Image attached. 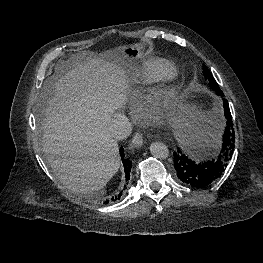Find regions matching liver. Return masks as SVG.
Here are the masks:
<instances>
[{
  "label": "liver",
  "instance_id": "6515ba94",
  "mask_svg": "<svg viewBox=\"0 0 263 263\" xmlns=\"http://www.w3.org/2000/svg\"><path fill=\"white\" fill-rule=\"evenodd\" d=\"M117 48L78 56L53 84L43 122V151L60 181L76 193L104 188L120 166L117 141L107 125L127 100L129 61ZM48 82L46 83V85ZM177 126L196 122L193 108L179 105Z\"/></svg>",
  "mask_w": 263,
  "mask_h": 263
}]
</instances>
